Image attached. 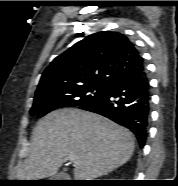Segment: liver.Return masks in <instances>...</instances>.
<instances>
[{"label":"liver","mask_w":178,"mask_h":186,"mask_svg":"<svg viewBox=\"0 0 178 186\" xmlns=\"http://www.w3.org/2000/svg\"><path fill=\"white\" fill-rule=\"evenodd\" d=\"M134 148L133 134L113 121L76 108L58 109L37 122L29 155L18 165L16 177H52L73 157L74 178L93 180L129 161Z\"/></svg>","instance_id":"6515ba94"}]
</instances>
